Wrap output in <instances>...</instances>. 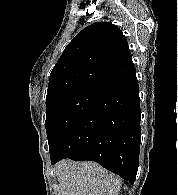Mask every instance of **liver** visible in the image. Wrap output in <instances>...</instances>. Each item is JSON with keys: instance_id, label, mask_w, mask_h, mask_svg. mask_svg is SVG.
<instances>
[{"instance_id": "obj_1", "label": "liver", "mask_w": 178, "mask_h": 195, "mask_svg": "<svg viewBox=\"0 0 178 195\" xmlns=\"http://www.w3.org/2000/svg\"><path fill=\"white\" fill-rule=\"evenodd\" d=\"M58 195H118L120 178L95 162L63 160L56 166Z\"/></svg>"}]
</instances>
